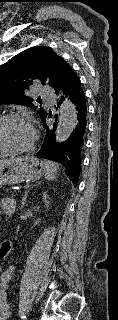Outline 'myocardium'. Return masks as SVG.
<instances>
[{
	"label": "myocardium",
	"instance_id": "obj_1",
	"mask_svg": "<svg viewBox=\"0 0 118 320\" xmlns=\"http://www.w3.org/2000/svg\"><path fill=\"white\" fill-rule=\"evenodd\" d=\"M11 121H22V122L28 123L33 131L32 141L30 142V144L27 147L21 148V149H10L4 143H2L0 141V150L4 154H8V155H20V154H26V153L31 152L34 149L35 143L38 138V132H37L36 127L27 117L20 115L18 113H11V114L0 116V127L3 124H5L7 122H11Z\"/></svg>",
	"mask_w": 118,
	"mask_h": 320
}]
</instances>
